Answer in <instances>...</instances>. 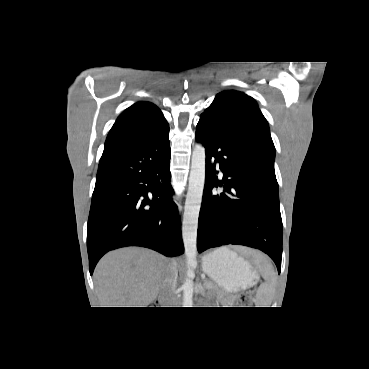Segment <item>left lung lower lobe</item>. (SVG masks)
I'll use <instances>...</instances> for the list:
<instances>
[{
  "mask_svg": "<svg viewBox=\"0 0 369 369\" xmlns=\"http://www.w3.org/2000/svg\"><path fill=\"white\" fill-rule=\"evenodd\" d=\"M196 140L206 151V177L198 220V252L234 244L268 254L281 270L282 219L274 165L260 150L200 117ZM222 169L218 179L216 167ZM223 187L216 192L214 187Z\"/></svg>",
  "mask_w": 369,
  "mask_h": 369,
  "instance_id": "left-lung-lower-lobe-1",
  "label": "left lung lower lobe"
}]
</instances>
